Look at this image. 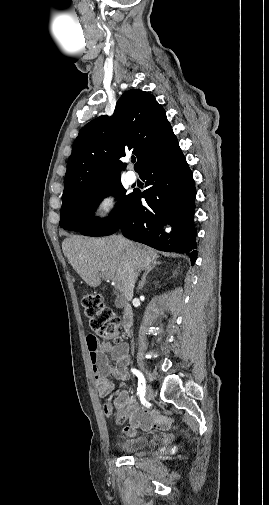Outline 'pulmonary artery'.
<instances>
[{
	"label": "pulmonary artery",
	"instance_id": "pulmonary-artery-1",
	"mask_svg": "<svg viewBox=\"0 0 269 505\" xmlns=\"http://www.w3.org/2000/svg\"><path fill=\"white\" fill-rule=\"evenodd\" d=\"M126 181L129 183V184H133L136 182V174L133 172V171H128L126 173Z\"/></svg>",
	"mask_w": 269,
	"mask_h": 505
}]
</instances>
